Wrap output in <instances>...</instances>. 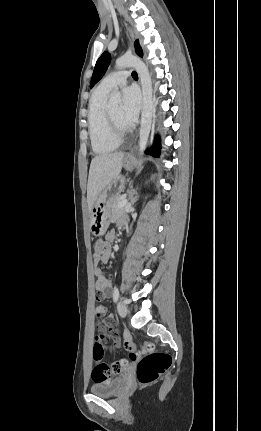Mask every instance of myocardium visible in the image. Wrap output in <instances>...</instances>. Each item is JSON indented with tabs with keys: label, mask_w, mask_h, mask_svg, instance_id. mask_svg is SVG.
<instances>
[{
	"label": "myocardium",
	"mask_w": 261,
	"mask_h": 431,
	"mask_svg": "<svg viewBox=\"0 0 261 431\" xmlns=\"http://www.w3.org/2000/svg\"><path fill=\"white\" fill-rule=\"evenodd\" d=\"M105 117H106L107 125H108L109 131H110L112 137L115 140H117L118 142H121L126 137V135L129 133V129L128 128H126V129L120 128L115 123V121L111 117L108 110L105 111Z\"/></svg>",
	"instance_id": "f54148a6"
}]
</instances>
